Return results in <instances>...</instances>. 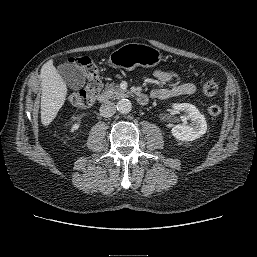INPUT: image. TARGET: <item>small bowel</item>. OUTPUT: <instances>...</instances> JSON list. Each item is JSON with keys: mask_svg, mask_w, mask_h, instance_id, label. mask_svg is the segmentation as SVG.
Returning a JSON list of instances; mask_svg holds the SVG:
<instances>
[{"mask_svg": "<svg viewBox=\"0 0 257 257\" xmlns=\"http://www.w3.org/2000/svg\"><path fill=\"white\" fill-rule=\"evenodd\" d=\"M154 76L163 83L176 81V84L172 87L153 89L151 91V96L155 99L166 100L181 95H192L197 91V85L195 82L184 80L176 71L158 69L154 72Z\"/></svg>", "mask_w": 257, "mask_h": 257, "instance_id": "1", "label": "small bowel"}]
</instances>
